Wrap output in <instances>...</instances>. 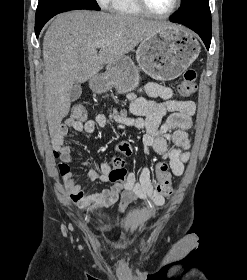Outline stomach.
Returning <instances> with one entry per match:
<instances>
[{"mask_svg":"<svg viewBox=\"0 0 247 280\" xmlns=\"http://www.w3.org/2000/svg\"><path fill=\"white\" fill-rule=\"evenodd\" d=\"M200 45L188 29L175 26L162 28L145 38L136 50L135 65L123 56L107 65L104 75L93 77L90 87L97 93L115 88L124 94L139 84V70L156 80L177 78L198 57Z\"/></svg>","mask_w":247,"mask_h":280,"instance_id":"obj_1","label":"stomach"}]
</instances>
